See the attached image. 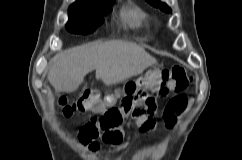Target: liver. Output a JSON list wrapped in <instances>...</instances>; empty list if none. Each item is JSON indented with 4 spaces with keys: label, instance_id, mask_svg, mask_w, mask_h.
<instances>
[{
    "label": "liver",
    "instance_id": "6515ba94",
    "mask_svg": "<svg viewBox=\"0 0 242 160\" xmlns=\"http://www.w3.org/2000/svg\"><path fill=\"white\" fill-rule=\"evenodd\" d=\"M156 62L135 43L118 40L94 42L55 55L50 61L48 80L56 92L71 93L92 70H96V79L111 85L141 74Z\"/></svg>",
    "mask_w": 242,
    "mask_h": 160
}]
</instances>
